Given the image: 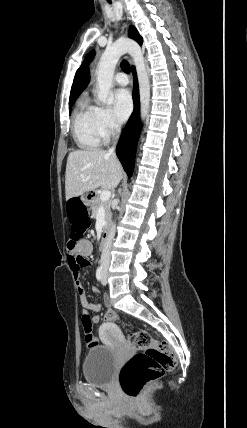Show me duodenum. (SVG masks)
I'll return each mask as SVG.
<instances>
[{"instance_id": "410a0bca", "label": "duodenum", "mask_w": 247, "mask_h": 428, "mask_svg": "<svg viewBox=\"0 0 247 428\" xmlns=\"http://www.w3.org/2000/svg\"><path fill=\"white\" fill-rule=\"evenodd\" d=\"M109 230H110V226L107 223V224H105V226L102 230V233H101V238H100V243H99L100 249H104V247L106 246L108 236H109Z\"/></svg>"}]
</instances>
